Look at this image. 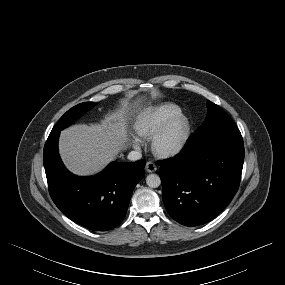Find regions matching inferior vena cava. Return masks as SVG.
I'll use <instances>...</instances> for the list:
<instances>
[{"instance_id":"obj_1","label":"inferior vena cava","mask_w":285,"mask_h":285,"mask_svg":"<svg viewBox=\"0 0 285 285\" xmlns=\"http://www.w3.org/2000/svg\"><path fill=\"white\" fill-rule=\"evenodd\" d=\"M141 157H142V154L139 151H131L128 154V159L131 161H137L141 159Z\"/></svg>"}]
</instances>
